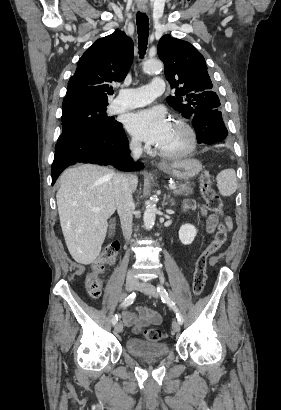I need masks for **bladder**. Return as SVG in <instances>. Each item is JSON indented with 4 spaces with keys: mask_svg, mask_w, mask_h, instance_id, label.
<instances>
[{
    "mask_svg": "<svg viewBox=\"0 0 281 410\" xmlns=\"http://www.w3.org/2000/svg\"><path fill=\"white\" fill-rule=\"evenodd\" d=\"M126 351L135 357L152 359L164 357L169 353V345L159 341L143 340L130 337L125 343Z\"/></svg>",
    "mask_w": 281,
    "mask_h": 410,
    "instance_id": "obj_1",
    "label": "bladder"
}]
</instances>
